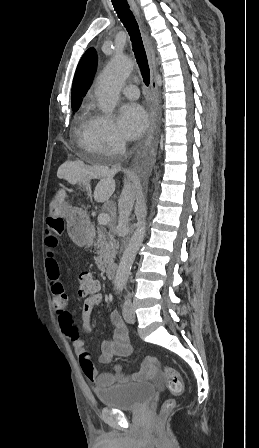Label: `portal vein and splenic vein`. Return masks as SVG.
I'll list each match as a JSON object with an SVG mask.
<instances>
[{"label": "portal vein and splenic vein", "mask_w": 259, "mask_h": 448, "mask_svg": "<svg viewBox=\"0 0 259 448\" xmlns=\"http://www.w3.org/2000/svg\"><path fill=\"white\" fill-rule=\"evenodd\" d=\"M98 222L99 224H102V226H107L110 222L109 214H100V216H98Z\"/></svg>", "instance_id": "18ae733b"}]
</instances>
